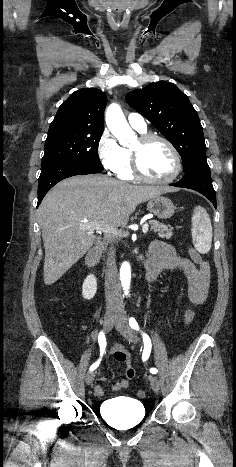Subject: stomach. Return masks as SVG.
<instances>
[{"mask_svg":"<svg viewBox=\"0 0 236 467\" xmlns=\"http://www.w3.org/2000/svg\"><path fill=\"white\" fill-rule=\"evenodd\" d=\"M147 208L160 219H168L172 217L175 212L173 202L169 198L163 196L149 199Z\"/></svg>","mask_w":236,"mask_h":467,"instance_id":"0dacf381","label":"stomach"}]
</instances>
